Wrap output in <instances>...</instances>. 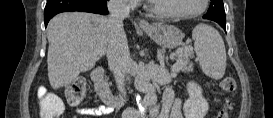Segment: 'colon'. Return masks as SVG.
<instances>
[{"mask_svg": "<svg viewBox=\"0 0 273 118\" xmlns=\"http://www.w3.org/2000/svg\"><path fill=\"white\" fill-rule=\"evenodd\" d=\"M220 87L224 92L233 94L236 91L237 84L233 77H225L220 81ZM66 96L70 104H79L86 96L84 82L79 79L74 80L69 85ZM38 99L41 118H56L60 116L63 111V102L59 97L41 89L38 92ZM231 105V100L226 99L216 118H227Z\"/></svg>", "mask_w": 273, "mask_h": 118, "instance_id": "obj_1", "label": "colon"}]
</instances>
